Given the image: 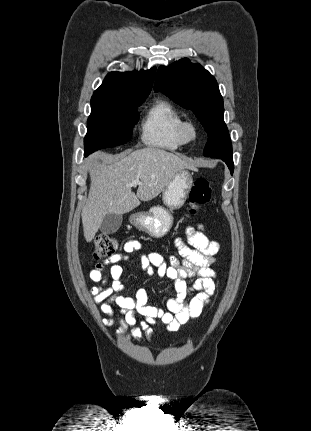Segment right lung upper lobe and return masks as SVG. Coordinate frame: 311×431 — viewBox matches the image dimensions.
Segmentation results:
<instances>
[{
    "label": "right lung upper lobe",
    "instance_id": "right-lung-upper-lobe-1",
    "mask_svg": "<svg viewBox=\"0 0 311 431\" xmlns=\"http://www.w3.org/2000/svg\"><path fill=\"white\" fill-rule=\"evenodd\" d=\"M155 68L140 72H110L93 95L147 97L152 89Z\"/></svg>",
    "mask_w": 311,
    "mask_h": 431
}]
</instances>
